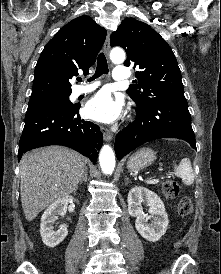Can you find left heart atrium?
Wrapping results in <instances>:
<instances>
[{
	"mask_svg": "<svg viewBox=\"0 0 221 274\" xmlns=\"http://www.w3.org/2000/svg\"><path fill=\"white\" fill-rule=\"evenodd\" d=\"M122 109V101L112 97L110 92L101 91L93 96L85 106V115L98 122H113Z\"/></svg>",
	"mask_w": 221,
	"mask_h": 274,
	"instance_id": "obj_1",
	"label": "left heart atrium"
}]
</instances>
